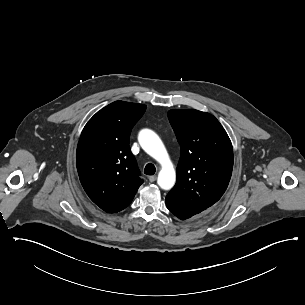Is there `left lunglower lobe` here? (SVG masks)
<instances>
[{
    "label": "left lung lower lobe",
    "mask_w": 305,
    "mask_h": 305,
    "mask_svg": "<svg viewBox=\"0 0 305 305\" xmlns=\"http://www.w3.org/2000/svg\"><path fill=\"white\" fill-rule=\"evenodd\" d=\"M166 205L167 208L179 219L185 220L188 219L196 214H198L195 211H191L188 209L183 208L182 206L176 204L175 202H172L168 199H166Z\"/></svg>",
    "instance_id": "0a47b994"
}]
</instances>
